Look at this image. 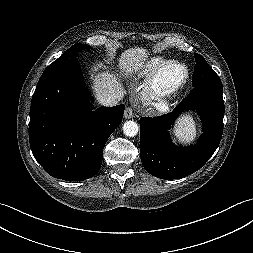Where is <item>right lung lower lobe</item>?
<instances>
[{"instance_id":"98d812e1","label":"right lung lower lobe","mask_w":253,"mask_h":253,"mask_svg":"<svg viewBox=\"0 0 253 253\" xmlns=\"http://www.w3.org/2000/svg\"><path fill=\"white\" fill-rule=\"evenodd\" d=\"M124 105L94 109L78 60L44 71L32 97L29 141L51 176L82 181L99 171L103 148L121 124Z\"/></svg>"}]
</instances>
